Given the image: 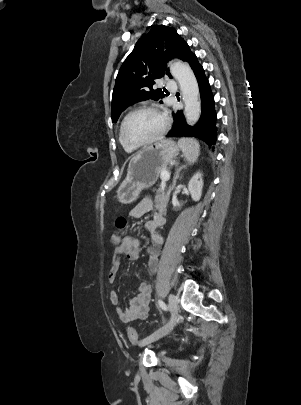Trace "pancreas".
I'll list each match as a JSON object with an SVG mask.
<instances>
[{
  "mask_svg": "<svg viewBox=\"0 0 301 405\" xmlns=\"http://www.w3.org/2000/svg\"><path fill=\"white\" fill-rule=\"evenodd\" d=\"M163 171H166V168L161 170V172ZM168 201L169 196L165 194V192L161 188H159L155 196L156 208L159 209L161 212H165Z\"/></svg>",
  "mask_w": 301,
  "mask_h": 405,
  "instance_id": "1",
  "label": "pancreas"
}]
</instances>
